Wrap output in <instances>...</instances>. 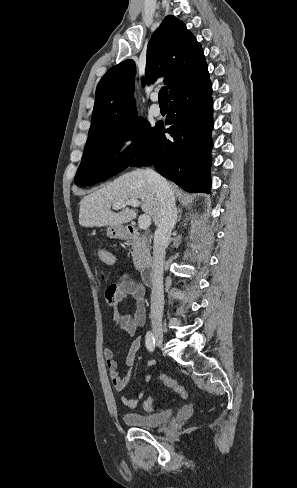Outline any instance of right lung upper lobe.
Masks as SVG:
<instances>
[{
    "instance_id": "cb5924a9",
    "label": "right lung upper lobe",
    "mask_w": 297,
    "mask_h": 488,
    "mask_svg": "<svg viewBox=\"0 0 297 488\" xmlns=\"http://www.w3.org/2000/svg\"><path fill=\"white\" fill-rule=\"evenodd\" d=\"M135 73V62L128 59L110 68L99 81L88 137L138 118L134 102ZM206 74L207 64L200 43L180 20L167 16L148 43L147 82L164 76L171 99Z\"/></svg>"
}]
</instances>
